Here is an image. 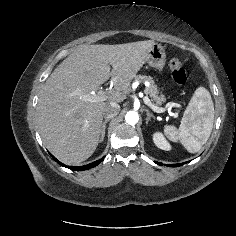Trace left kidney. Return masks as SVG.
<instances>
[{
  "mask_svg": "<svg viewBox=\"0 0 236 236\" xmlns=\"http://www.w3.org/2000/svg\"><path fill=\"white\" fill-rule=\"evenodd\" d=\"M153 141L158 148L166 151L171 150V145L168 143V141L164 138V136L161 133L159 132L154 133Z\"/></svg>",
  "mask_w": 236,
  "mask_h": 236,
  "instance_id": "obj_1",
  "label": "left kidney"
}]
</instances>
